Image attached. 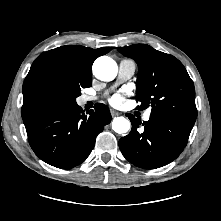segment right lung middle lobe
Segmentation results:
<instances>
[{
  "instance_id": "dd1d6c3e",
  "label": "right lung middle lobe",
  "mask_w": 221,
  "mask_h": 221,
  "mask_svg": "<svg viewBox=\"0 0 221 221\" xmlns=\"http://www.w3.org/2000/svg\"><path fill=\"white\" fill-rule=\"evenodd\" d=\"M92 82L83 80H71L62 85L58 92L60 95V103H76V97L81 93L82 88L90 87Z\"/></svg>"
}]
</instances>
